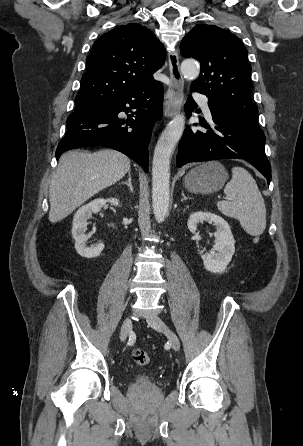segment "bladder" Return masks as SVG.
<instances>
[{"instance_id": "1", "label": "bladder", "mask_w": 303, "mask_h": 446, "mask_svg": "<svg viewBox=\"0 0 303 446\" xmlns=\"http://www.w3.org/2000/svg\"><path fill=\"white\" fill-rule=\"evenodd\" d=\"M130 384L135 387H152L155 385V381L146 373H138L133 376Z\"/></svg>"}]
</instances>
